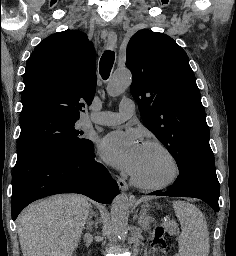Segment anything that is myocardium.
Wrapping results in <instances>:
<instances>
[{"instance_id":"myocardium-1","label":"myocardium","mask_w":236,"mask_h":256,"mask_svg":"<svg viewBox=\"0 0 236 256\" xmlns=\"http://www.w3.org/2000/svg\"><path fill=\"white\" fill-rule=\"evenodd\" d=\"M144 146L156 147V148L162 150L170 159L172 166H173V172H172L171 176L168 179H166L165 181L158 183V184H152V185L143 183L140 180H138L133 174H130L129 180H130L131 184L138 189H141L144 191H149V192L159 191V190L165 189V188L171 186L172 184H174L179 179V177L181 175V165H180L178 158L174 154V152L166 144H164L163 142L158 141V140L146 141L144 143Z\"/></svg>"}]
</instances>
